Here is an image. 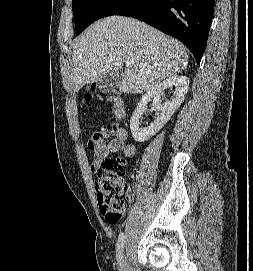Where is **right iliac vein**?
Segmentation results:
<instances>
[{
	"instance_id": "obj_1",
	"label": "right iliac vein",
	"mask_w": 253,
	"mask_h": 271,
	"mask_svg": "<svg viewBox=\"0 0 253 271\" xmlns=\"http://www.w3.org/2000/svg\"><path fill=\"white\" fill-rule=\"evenodd\" d=\"M121 266H122V271H129V265L127 263L126 257L123 258Z\"/></svg>"
}]
</instances>
